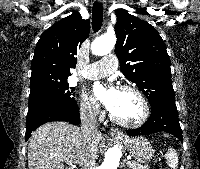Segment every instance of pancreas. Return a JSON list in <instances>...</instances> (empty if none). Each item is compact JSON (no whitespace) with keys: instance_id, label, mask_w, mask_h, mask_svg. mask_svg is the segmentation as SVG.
<instances>
[{"instance_id":"obj_1","label":"pancreas","mask_w":200,"mask_h":169,"mask_svg":"<svg viewBox=\"0 0 200 169\" xmlns=\"http://www.w3.org/2000/svg\"><path fill=\"white\" fill-rule=\"evenodd\" d=\"M129 165L132 169H149L147 165H141L135 161H131Z\"/></svg>"}]
</instances>
